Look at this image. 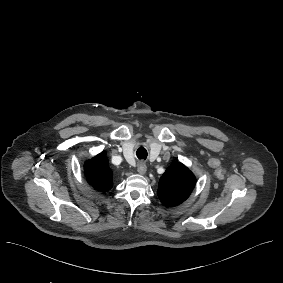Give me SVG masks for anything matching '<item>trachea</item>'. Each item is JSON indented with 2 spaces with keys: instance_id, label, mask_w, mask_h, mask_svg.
<instances>
[{
  "instance_id": "1",
  "label": "trachea",
  "mask_w": 283,
  "mask_h": 283,
  "mask_svg": "<svg viewBox=\"0 0 283 283\" xmlns=\"http://www.w3.org/2000/svg\"><path fill=\"white\" fill-rule=\"evenodd\" d=\"M136 155L139 159H146L147 158V150L144 147H140L137 149Z\"/></svg>"
}]
</instances>
